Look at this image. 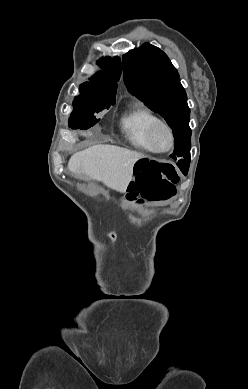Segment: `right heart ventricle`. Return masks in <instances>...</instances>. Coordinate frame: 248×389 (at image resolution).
Returning <instances> with one entry per match:
<instances>
[{"label":"right heart ventricle","mask_w":248,"mask_h":389,"mask_svg":"<svg viewBox=\"0 0 248 389\" xmlns=\"http://www.w3.org/2000/svg\"><path fill=\"white\" fill-rule=\"evenodd\" d=\"M158 118L145 105L134 103L120 120V128L127 140L140 149L152 151L147 140L150 125ZM153 152V151H152Z\"/></svg>","instance_id":"e07e8e85"}]
</instances>
